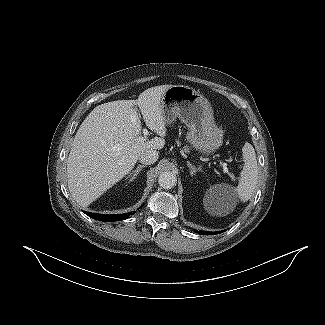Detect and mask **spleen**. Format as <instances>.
<instances>
[{"label":"spleen","mask_w":325,"mask_h":325,"mask_svg":"<svg viewBox=\"0 0 325 325\" xmlns=\"http://www.w3.org/2000/svg\"><path fill=\"white\" fill-rule=\"evenodd\" d=\"M244 166L240 173V183L235 191L239 199L243 202L248 201L256 188L258 182V165L256 154L250 143H245L242 148Z\"/></svg>","instance_id":"spleen-1"}]
</instances>
